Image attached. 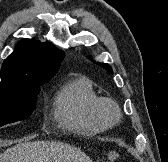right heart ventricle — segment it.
Here are the masks:
<instances>
[{
	"instance_id": "e07e8e85",
	"label": "right heart ventricle",
	"mask_w": 168,
	"mask_h": 162,
	"mask_svg": "<svg viewBox=\"0 0 168 162\" xmlns=\"http://www.w3.org/2000/svg\"><path fill=\"white\" fill-rule=\"evenodd\" d=\"M99 96L92 81L85 76H71L58 90L54 117L64 128L83 135L104 131L106 125L96 112Z\"/></svg>"
}]
</instances>
